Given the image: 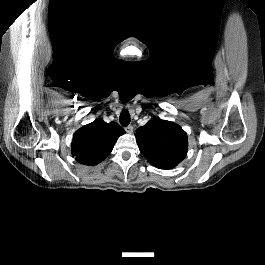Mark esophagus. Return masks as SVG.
<instances>
[{
  "instance_id": "1",
  "label": "esophagus",
  "mask_w": 265,
  "mask_h": 265,
  "mask_svg": "<svg viewBox=\"0 0 265 265\" xmlns=\"http://www.w3.org/2000/svg\"><path fill=\"white\" fill-rule=\"evenodd\" d=\"M125 131L128 134H131L133 132V126L132 125H128L127 127H125Z\"/></svg>"
}]
</instances>
